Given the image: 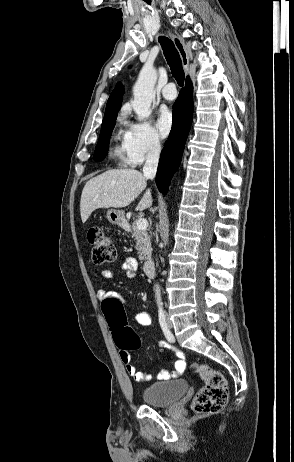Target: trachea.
<instances>
[{"instance_id":"trachea-1","label":"trachea","mask_w":294,"mask_h":462,"mask_svg":"<svg viewBox=\"0 0 294 462\" xmlns=\"http://www.w3.org/2000/svg\"><path fill=\"white\" fill-rule=\"evenodd\" d=\"M159 42L162 46L164 56L170 66L173 77L176 79L178 85L182 87L184 85L185 74L182 68L180 55L174 43L164 36L159 38Z\"/></svg>"}]
</instances>
